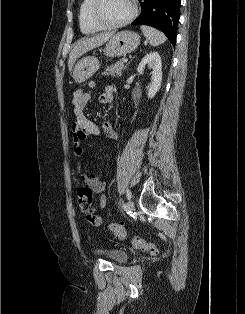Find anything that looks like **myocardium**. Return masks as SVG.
I'll return each mask as SVG.
<instances>
[{"label": "myocardium", "mask_w": 245, "mask_h": 314, "mask_svg": "<svg viewBox=\"0 0 245 314\" xmlns=\"http://www.w3.org/2000/svg\"><path fill=\"white\" fill-rule=\"evenodd\" d=\"M130 2L132 5V10L128 17H126L125 19L119 22L108 23V22L103 21L99 15V6L101 3V0H93V4L91 8L92 19L97 25H99L103 29H116V28L124 27L128 25L129 23H131L138 14V5H137L136 0H130Z\"/></svg>", "instance_id": "f54148a6"}]
</instances>
